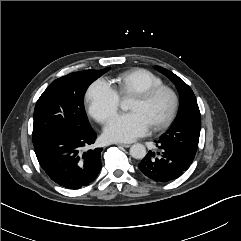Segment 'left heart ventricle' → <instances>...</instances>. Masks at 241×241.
Listing matches in <instances>:
<instances>
[{
    "instance_id": "1",
    "label": "left heart ventricle",
    "mask_w": 241,
    "mask_h": 241,
    "mask_svg": "<svg viewBox=\"0 0 241 241\" xmlns=\"http://www.w3.org/2000/svg\"><path fill=\"white\" fill-rule=\"evenodd\" d=\"M170 107V96L162 92L149 102H144L138 98H132L129 109L132 112H141L148 119L150 124L154 125L166 118Z\"/></svg>"
}]
</instances>
